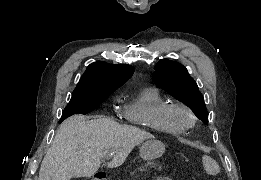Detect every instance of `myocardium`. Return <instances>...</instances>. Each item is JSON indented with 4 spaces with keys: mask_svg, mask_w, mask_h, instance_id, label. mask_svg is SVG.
<instances>
[{
    "mask_svg": "<svg viewBox=\"0 0 261 180\" xmlns=\"http://www.w3.org/2000/svg\"><path fill=\"white\" fill-rule=\"evenodd\" d=\"M174 113L178 114V117H175ZM162 119L168 128L176 130H186L195 123L192 108L182 102L169 103L162 110Z\"/></svg>",
    "mask_w": 261,
    "mask_h": 180,
    "instance_id": "f54148a6",
    "label": "myocardium"
}]
</instances>
